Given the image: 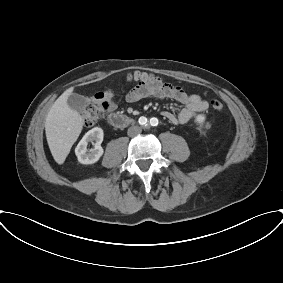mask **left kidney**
I'll return each mask as SVG.
<instances>
[{
	"label": "left kidney",
	"mask_w": 283,
	"mask_h": 283,
	"mask_svg": "<svg viewBox=\"0 0 283 283\" xmlns=\"http://www.w3.org/2000/svg\"><path fill=\"white\" fill-rule=\"evenodd\" d=\"M205 118H206V117H205L204 114H199V115L196 116L195 121H196L198 124L202 125V124L205 122Z\"/></svg>",
	"instance_id": "5707ae66"
}]
</instances>
